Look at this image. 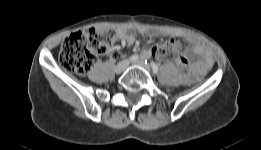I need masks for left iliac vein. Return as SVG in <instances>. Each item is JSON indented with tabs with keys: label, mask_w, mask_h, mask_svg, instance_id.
Instances as JSON below:
<instances>
[{
	"label": "left iliac vein",
	"mask_w": 261,
	"mask_h": 150,
	"mask_svg": "<svg viewBox=\"0 0 261 150\" xmlns=\"http://www.w3.org/2000/svg\"><path fill=\"white\" fill-rule=\"evenodd\" d=\"M132 63L135 64V65H138V66H140V67H142V68H144V69L147 70V71L150 70L149 65H146L145 62H144V60L133 61Z\"/></svg>",
	"instance_id": "left-iliac-vein-1"
}]
</instances>
